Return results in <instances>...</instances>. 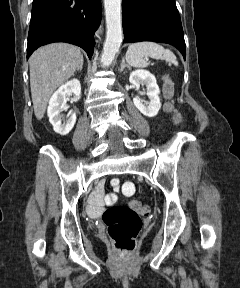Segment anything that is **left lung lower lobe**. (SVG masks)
Returning <instances> with one entry per match:
<instances>
[{"label": "left lung lower lobe", "mask_w": 240, "mask_h": 288, "mask_svg": "<svg viewBox=\"0 0 240 288\" xmlns=\"http://www.w3.org/2000/svg\"><path fill=\"white\" fill-rule=\"evenodd\" d=\"M122 13L123 43H167L185 58L184 33L175 0H122Z\"/></svg>", "instance_id": "1"}]
</instances>
